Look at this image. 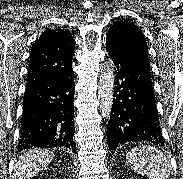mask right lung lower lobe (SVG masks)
Here are the masks:
<instances>
[{"instance_id": "98d812e1", "label": "right lung lower lobe", "mask_w": 183, "mask_h": 179, "mask_svg": "<svg viewBox=\"0 0 183 179\" xmlns=\"http://www.w3.org/2000/svg\"><path fill=\"white\" fill-rule=\"evenodd\" d=\"M74 74L41 76L28 82L23 98L18 152L32 147H65L76 152L74 127Z\"/></svg>"}]
</instances>
